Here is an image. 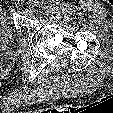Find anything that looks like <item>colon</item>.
<instances>
[{"instance_id":"obj_1","label":"colon","mask_w":113,"mask_h":113,"mask_svg":"<svg viewBox=\"0 0 113 113\" xmlns=\"http://www.w3.org/2000/svg\"><path fill=\"white\" fill-rule=\"evenodd\" d=\"M1 63H2V57H1V55H0V66H1Z\"/></svg>"}]
</instances>
